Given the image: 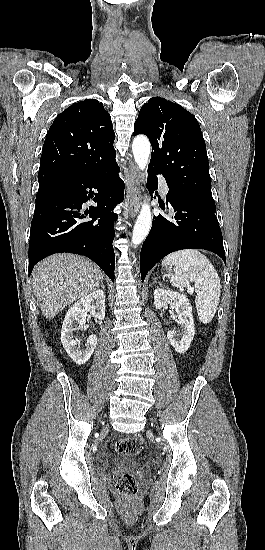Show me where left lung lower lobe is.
Masks as SVG:
<instances>
[{
    "mask_svg": "<svg viewBox=\"0 0 265 550\" xmlns=\"http://www.w3.org/2000/svg\"><path fill=\"white\" fill-rule=\"evenodd\" d=\"M158 172L149 168L151 192L158 186ZM166 197L174 209L169 218L154 216L152 228L140 253L141 279L167 254L181 249H205L219 255L226 264L222 233L216 218L215 205L197 196L174 192L169 187ZM165 209V204L160 206Z\"/></svg>",
    "mask_w": 265,
    "mask_h": 550,
    "instance_id": "0a47b994",
    "label": "left lung lower lobe"
}]
</instances>
